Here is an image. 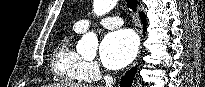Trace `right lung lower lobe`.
<instances>
[{"instance_id": "1", "label": "right lung lower lobe", "mask_w": 205, "mask_h": 87, "mask_svg": "<svg viewBox=\"0 0 205 87\" xmlns=\"http://www.w3.org/2000/svg\"><path fill=\"white\" fill-rule=\"evenodd\" d=\"M139 16H140L141 22L143 24V28L145 30V28H146L145 14L143 12H140ZM135 72H136V67L132 68L131 70L126 72L125 76L122 77V79H121V82H120L121 87H130L131 86Z\"/></svg>"}]
</instances>
